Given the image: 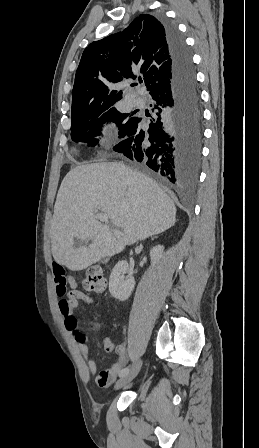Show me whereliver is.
Returning <instances> with one entry per match:
<instances>
[{"label": "liver", "mask_w": 259, "mask_h": 448, "mask_svg": "<svg viewBox=\"0 0 259 448\" xmlns=\"http://www.w3.org/2000/svg\"><path fill=\"white\" fill-rule=\"evenodd\" d=\"M98 210L122 228L121 234H112L108 224L99 222ZM175 218V204L146 174L123 162L78 166L58 190L49 232L53 258L72 272L86 270L101 258L169 230ZM74 238L92 244L74 250Z\"/></svg>", "instance_id": "obj_1"}]
</instances>
